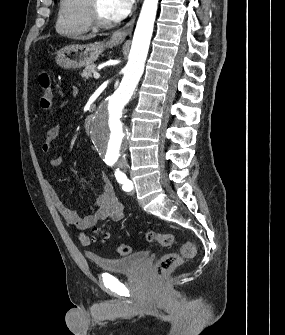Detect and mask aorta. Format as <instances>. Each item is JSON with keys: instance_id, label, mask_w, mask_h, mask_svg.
Returning a JSON list of instances; mask_svg holds the SVG:
<instances>
[{"instance_id": "obj_1", "label": "aorta", "mask_w": 285, "mask_h": 335, "mask_svg": "<svg viewBox=\"0 0 285 335\" xmlns=\"http://www.w3.org/2000/svg\"><path fill=\"white\" fill-rule=\"evenodd\" d=\"M157 6L158 0H144L122 82L118 90L110 91L108 100H101L93 125L87 127V134L95 137L93 147H100L98 154L104 160H118L123 152H127L131 130H128L127 125H122L120 114L127 102H131L135 96L134 90L144 72Z\"/></svg>"}]
</instances>
